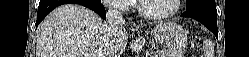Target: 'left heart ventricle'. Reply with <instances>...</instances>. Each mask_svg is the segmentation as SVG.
I'll return each instance as SVG.
<instances>
[{
  "label": "left heart ventricle",
  "mask_w": 249,
  "mask_h": 57,
  "mask_svg": "<svg viewBox=\"0 0 249 57\" xmlns=\"http://www.w3.org/2000/svg\"><path fill=\"white\" fill-rule=\"evenodd\" d=\"M174 0H144V7L152 14H162L174 8Z\"/></svg>",
  "instance_id": "b2bd125f"
}]
</instances>
